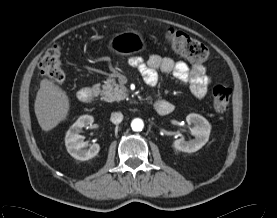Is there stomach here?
I'll list each match as a JSON object with an SVG mask.
<instances>
[{"mask_svg":"<svg viewBox=\"0 0 277 218\" xmlns=\"http://www.w3.org/2000/svg\"><path fill=\"white\" fill-rule=\"evenodd\" d=\"M145 47V42L141 33L137 31H125L116 34L109 42V48L121 55H129L140 51Z\"/></svg>","mask_w":277,"mask_h":218,"instance_id":"stomach-1","label":"stomach"}]
</instances>
